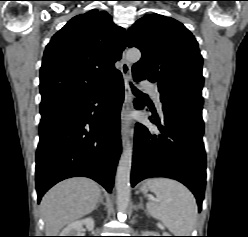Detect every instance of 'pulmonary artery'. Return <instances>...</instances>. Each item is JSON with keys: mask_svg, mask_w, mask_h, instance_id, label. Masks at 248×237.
<instances>
[{"mask_svg": "<svg viewBox=\"0 0 248 237\" xmlns=\"http://www.w3.org/2000/svg\"><path fill=\"white\" fill-rule=\"evenodd\" d=\"M141 86H142V88H144V89H147V90L152 91V92H154V93L156 92V90H155V88L153 87V85H152L150 82H148V81H143V82L141 83ZM156 106H157V108L161 111V103H160L159 100L156 101Z\"/></svg>", "mask_w": 248, "mask_h": 237, "instance_id": "e3ab8cb5", "label": "pulmonary artery"}]
</instances>
